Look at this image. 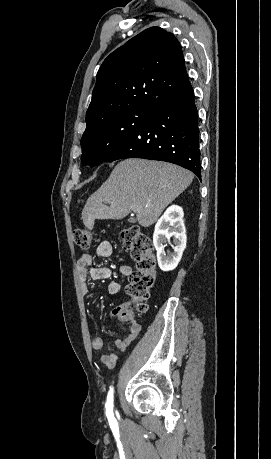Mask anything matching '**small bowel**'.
I'll list each match as a JSON object with an SVG mask.
<instances>
[{
  "label": "small bowel",
  "mask_w": 271,
  "mask_h": 459,
  "mask_svg": "<svg viewBox=\"0 0 271 459\" xmlns=\"http://www.w3.org/2000/svg\"><path fill=\"white\" fill-rule=\"evenodd\" d=\"M112 245L109 241H101L96 248V255L100 258H108L112 255ZM93 258L90 254H83L77 262L78 276L81 281V291L84 295L89 293L87 285V279L92 280H103L111 277V270L106 267H95L93 266ZM119 272L122 276L129 277L132 274V269L123 265L120 267ZM121 289V283L118 280H113L108 286V293L110 295L117 294ZM125 307L119 306L114 308L110 316L117 317L120 321L127 322L129 327L126 335L115 341V345L118 350L125 351L136 336L141 331V325L132 316L124 315ZM91 346L94 350L99 351L103 349L104 339L103 337H94L91 340ZM100 360L104 363L108 369L112 370L118 363V356L113 352H105L101 355Z\"/></svg>",
  "instance_id": "c3829d8e"
}]
</instances>
